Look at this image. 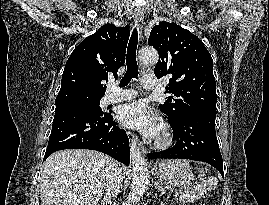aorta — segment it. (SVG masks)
I'll return each mask as SVG.
<instances>
[{
	"mask_svg": "<svg viewBox=\"0 0 269 205\" xmlns=\"http://www.w3.org/2000/svg\"><path fill=\"white\" fill-rule=\"evenodd\" d=\"M140 61L144 64L155 65L159 60L158 52L153 48L141 50ZM130 158L132 165V182L130 192L123 205H134L145 193L149 182V172L147 162L137 147V140H132L130 148Z\"/></svg>",
	"mask_w": 269,
	"mask_h": 205,
	"instance_id": "762f6f07",
	"label": "aorta"
}]
</instances>
